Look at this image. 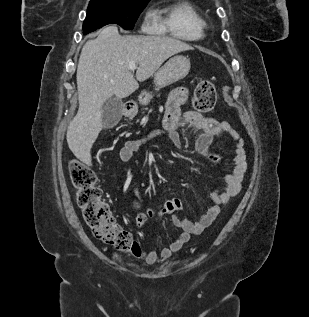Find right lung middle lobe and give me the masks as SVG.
<instances>
[{
	"instance_id": "right-lung-middle-lobe-1",
	"label": "right lung middle lobe",
	"mask_w": 309,
	"mask_h": 317,
	"mask_svg": "<svg viewBox=\"0 0 309 317\" xmlns=\"http://www.w3.org/2000/svg\"><path fill=\"white\" fill-rule=\"evenodd\" d=\"M150 0H91L83 23L87 34L108 24L131 30Z\"/></svg>"
}]
</instances>
